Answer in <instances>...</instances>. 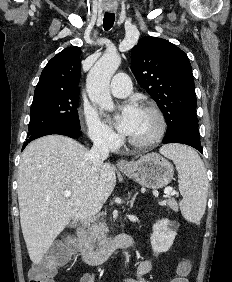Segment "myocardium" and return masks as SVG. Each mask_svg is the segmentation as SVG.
<instances>
[{"instance_id": "myocardium-1", "label": "myocardium", "mask_w": 232, "mask_h": 282, "mask_svg": "<svg viewBox=\"0 0 232 282\" xmlns=\"http://www.w3.org/2000/svg\"><path fill=\"white\" fill-rule=\"evenodd\" d=\"M143 110L152 114L157 120V129L153 136L146 140H134L128 138V143L136 148H148L161 141L167 129V122L163 112L154 104L146 103L142 107Z\"/></svg>"}]
</instances>
